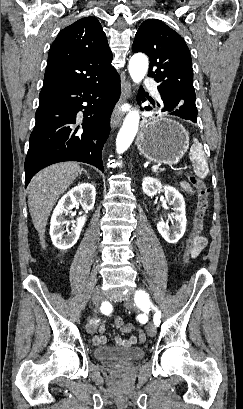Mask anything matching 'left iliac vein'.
Masks as SVG:
<instances>
[{
    "instance_id": "left-iliac-vein-1",
    "label": "left iliac vein",
    "mask_w": 243,
    "mask_h": 409,
    "mask_svg": "<svg viewBox=\"0 0 243 409\" xmlns=\"http://www.w3.org/2000/svg\"><path fill=\"white\" fill-rule=\"evenodd\" d=\"M134 305V301L132 299H127L125 301V306L128 308H132ZM147 334L150 337H153L156 334V326L154 325L153 322H149L146 328Z\"/></svg>"
}]
</instances>
